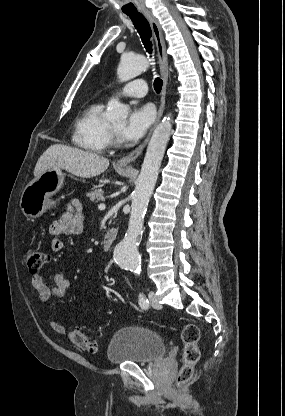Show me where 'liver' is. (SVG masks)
<instances>
[{
	"mask_svg": "<svg viewBox=\"0 0 285 416\" xmlns=\"http://www.w3.org/2000/svg\"><path fill=\"white\" fill-rule=\"evenodd\" d=\"M108 166L109 160L103 156L84 152L79 148L54 144L40 156L35 166L34 176L37 178L47 170H66L78 178H94L103 174Z\"/></svg>",
	"mask_w": 285,
	"mask_h": 416,
	"instance_id": "1",
	"label": "liver"
}]
</instances>
